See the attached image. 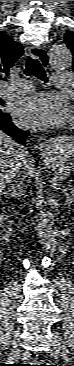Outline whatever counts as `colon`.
<instances>
[{"label":"colon","mask_w":74,"mask_h":366,"mask_svg":"<svg viewBox=\"0 0 74 366\" xmlns=\"http://www.w3.org/2000/svg\"><path fill=\"white\" fill-rule=\"evenodd\" d=\"M27 366H53L47 362H44V361H35L34 363L32 364H27Z\"/></svg>","instance_id":"colon-1"}]
</instances>
